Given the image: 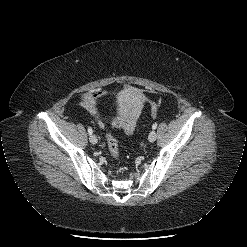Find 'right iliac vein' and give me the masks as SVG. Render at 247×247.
I'll return each instance as SVG.
<instances>
[{
	"label": "right iliac vein",
	"mask_w": 247,
	"mask_h": 247,
	"mask_svg": "<svg viewBox=\"0 0 247 247\" xmlns=\"http://www.w3.org/2000/svg\"><path fill=\"white\" fill-rule=\"evenodd\" d=\"M89 140L92 144H96L98 142V139L95 135H90Z\"/></svg>",
	"instance_id": "right-iliac-vein-1"
}]
</instances>
